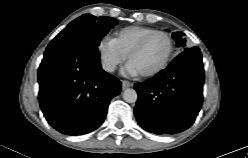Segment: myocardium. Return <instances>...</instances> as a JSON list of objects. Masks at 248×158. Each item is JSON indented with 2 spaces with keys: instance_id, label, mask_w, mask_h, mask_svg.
Instances as JSON below:
<instances>
[{
  "instance_id": "1",
  "label": "myocardium",
  "mask_w": 248,
  "mask_h": 158,
  "mask_svg": "<svg viewBox=\"0 0 248 158\" xmlns=\"http://www.w3.org/2000/svg\"><path fill=\"white\" fill-rule=\"evenodd\" d=\"M154 35H162L164 36L167 40H168V43H169V49H168V52H167V55L164 59V61L158 66L156 67L155 69L151 70V71H148V72H144V73H141L142 76L144 77H152V76H155L157 74H159L160 72H162L167 66L168 64L170 63L171 61V58L173 56V53H174V42H173V39L172 37L170 36V34H168L167 32L165 31H161V30H154L150 33H148L147 35H145L131 50L130 52L128 53L127 57H128V60L130 61L131 58L137 54L139 51H141L143 49V47L146 45V43L154 36Z\"/></svg>"
}]
</instances>
